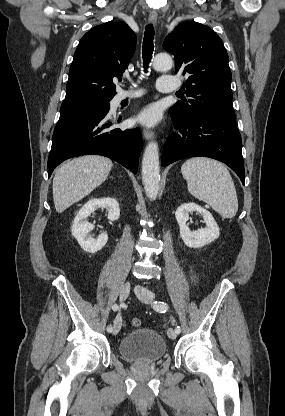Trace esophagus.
I'll use <instances>...</instances> for the list:
<instances>
[{"mask_svg":"<svg viewBox=\"0 0 285 416\" xmlns=\"http://www.w3.org/2000/svg\"><path fill=\"white\" fill-rule=\"evenodd\" d=\"M148 21L150 22V24H155L157 22V12H150L149 13V17H148ZM155 137V134L153 131H149V130H144L143 131V138L145 140H151Z\"/></svg>","mask_w":285,"mask_h":416,"instance_id":"esophagus-1","label":"esophagus"}]
</instances>
